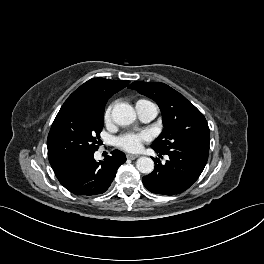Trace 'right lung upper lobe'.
Here are the masks:
<instances>
[{
	"mask_svg": "<svg viewBox=\"0 0 264 264\" xmlns=\"http://www.w3.org/2000/svg\"><path fill=\"white\" fill-rule=\"evenodd\" d=\"M129 81L92 78L76 89L64 104L86 105L105 109L108 99L128 85Z\"/></svg>",
	"mask_w": 264,
	"mask_h": 264,
	"instance_id": "right-lung-upper-lobe-1",
	"label": "right lung upper lobe"
}]
</instances>
